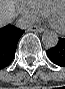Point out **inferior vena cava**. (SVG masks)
Here are the masks:
<instances>
[{
	"mask_svg": "<svg viewBox=\"0 0 65 89\" xmlns=\"http://www.w3.org/2000/svg\"><path fill=\"white\" fill-rule=\"evenodd\" d=\"M34 24V21L29 19V18H25V17H21L18 21H17V27L20 29H28L30 28L32 25Z\"/></svg>",
	"mask_w": 65,
	"mask_h": 89,
	"instance_id": "obj_1",
	"label": "inferior vena cava"
}]
</instances>
